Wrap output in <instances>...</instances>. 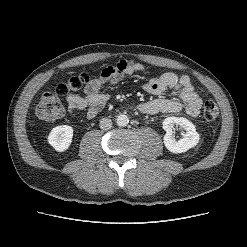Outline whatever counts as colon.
<instances>
[{
	"label": "colon",
	"instance_id": "5ec220e1",
	"mask_svg": "<svg viewBox=\"0 0 247 247\" xmlns=\"http://www.w3.org/2000/svg\"><path fill=\"white\" fill-rule=\"evenodd\" d=\"M89 73H81L70 78L67 82L58 85L57 90L44 93L37 105L36 114L44 121L51 122L63 114V106L60 95L80 91L90 82ZM219 115V109L215 102L208 100L203 106V116L208 121L215 120Z\"/></svg>",
	"mask_w": 247,
	"mask_h": 247
}]
</instances>
